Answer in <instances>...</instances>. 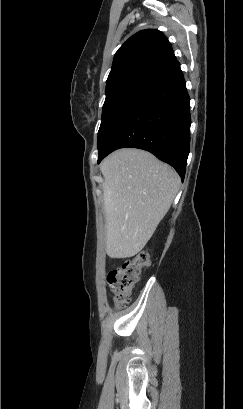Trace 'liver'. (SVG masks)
Masks as SVG:
<instances>
[{
  "instance_id": "6515ba94",
  "label": "liver",
  "mask_w": 243,
  "mask_h": 409,
  "mask_svg": "<svg viewBox=\"0 0 243 409\" xmlns=\"http://www.w3.org/2000/svg\"><path fill=\"white\" fill-rule=\"evenodd\" d=\"M104 177L106 252L124 259L140 252L178 192L180 177L149 152L124 148L100 164Z\"/></svg>"
}]
</instances>
